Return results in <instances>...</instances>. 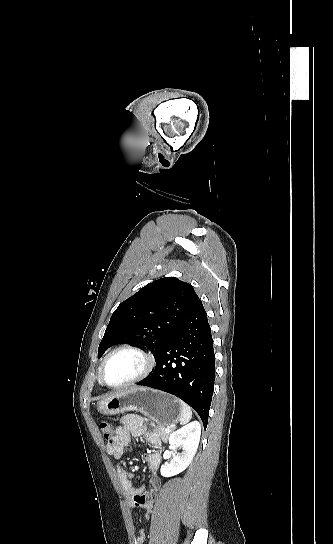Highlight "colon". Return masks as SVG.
Segmentation results:
<instances>
[{
    "label": "colon",
    "instance_id": "5ec220e1",
    "mask_svg": "<svg viewBox=\"0 0 333 544\" xmlns=\"http://www.w3.org/2000/svg\"><path fill=\"white\" fill-rule=\"evenodd\" d=\"M99 429L103 437L108 441L112 437V428L111 425L105 420H99L98 422Z\"/></svg>",
    "mask_w": 333,
    "mask_h": 544
}]
</instances>
